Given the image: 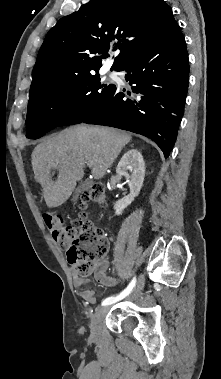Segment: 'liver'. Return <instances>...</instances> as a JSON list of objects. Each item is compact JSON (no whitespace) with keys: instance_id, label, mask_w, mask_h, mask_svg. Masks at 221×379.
<instances>
[{"instance_id":"6515ba94","label":"liver","mask_w":221,"mask_h":379,"mask_svg":"<svg viewBox=\"0 0 221 379\" xmlns=\"http://www.w3.org/2000/svg\"><path fill=\"white\" fill-rule=\"evenodd\" d=\"M129 133L114 128L77 126L38 144L32 152V167L43 188L49 208L66 202L91 163L94 179H101L121 150L131 141ZM58 176L52 180L51 170Z\"/></svg>"}]
</instances>
